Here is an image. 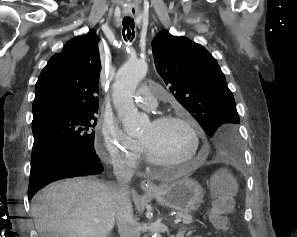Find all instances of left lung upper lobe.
Listing matches in <instances>:
<instances>
[{
  "label": "left lung upper lobe",
  "mask_w": 297,
  "mask_h": 237,
  "mask_svg": "<svg viewBox=\"0 0 297 237\" xmlns=\"http://www.w3.org/2000/svg\"><path fill=\"white\" fill-rule=\"evenodd\" d=\"M156 70L176 100L211 139L216 156L239 158V115L215 58L200 44L159 32L152 41Z\"/></svg>",
  "instance_id": "1"
}]
</instances>
